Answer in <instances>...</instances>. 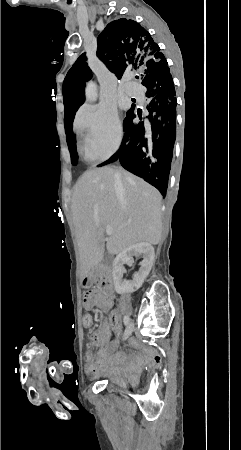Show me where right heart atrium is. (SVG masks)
I'll return each mask as SVG.
<instances>
[{"instance_id":"d8ad5b80","label":"right heart atrium","mask_w":241,"mask_h":450,"mask_svg":"<svg viewBox=\"0 0 241 450\" xmlns=\"http://www.w3.org/2000/svg\"><path fill=\"white\" fill-rule=\"evenodd\" d=\"M87 116H78L76 130H87L84 155L104 160L114 154L122 137V124L114 107L105 104L91 106Z\"/></svg>"}]
</instances>
